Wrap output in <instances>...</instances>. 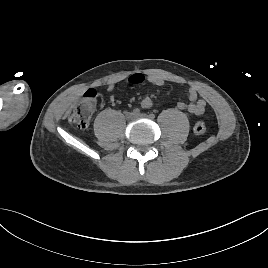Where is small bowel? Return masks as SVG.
I'll return each instance as SVG.
<instances>
[{"mask_svg":"<svg viewBox=\"0 0 268 268\" xmlns=\"http://www.w3.org/2000/svg\"><path fill=\"white\" fill-rule=\"evenodd\" d=\"M144 81L151 83L154 86L161 87L165 84L164 78L158 75H144L142 73L132 74L128 78V82L131 84H140ZM114 88V83H108L107 89L112 90ZM187 96L189 102H178L177 108L180 110H187L190 114L194 116H200L204 113L206 108V102L203 99L198 98V92L194 87H191L187 90ZM114 100V98H112ZM153 101L151 97L145 96L141 101V106L145 109H148L152 106Z\"/></svg>","mask_w":268,"mask_h":268,"instance_id":"small-bowel-1","label":"small bowel"}]
</instances>
